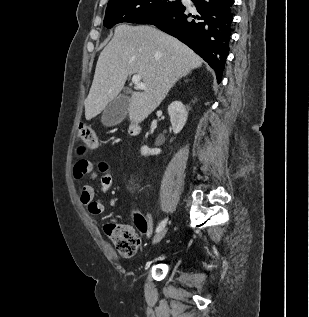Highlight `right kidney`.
Instances as JSON below:
<instances>
[{"instance_id":"1","label":"right kidney","mask_w":309,"mask_h":317,"mask_svg":"<svg viewBox=\"0 0 309 317\" xmlns=\"http://www.w3.org/2000/svg\"><path fill=\"white\" fill-rule=\"evenodd\" d=\"M168 113L170 115L173 132L178 134L184 127L188 117V111L180 101H174L168 106ZM172 141V140H171ZM161 150L158 148L149 149L147 146L141 147L142 155H158Z\"/></svg>"}]
</instances>
